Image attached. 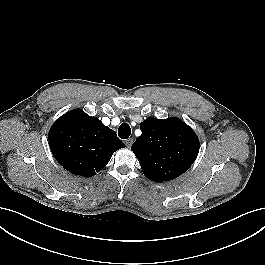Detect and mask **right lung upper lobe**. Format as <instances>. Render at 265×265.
<instances>
[{"label":"right lung upper lobe","mask_w":265,"mask_h":265,"mask_svg":"<svg viewBox=\"0 0 265 265\" xmlns=\"http://www.w3.org/2000/svg\"><path fill=\"white\" fill-rule=\"evenodd\" d=\"M48 138L56 160L67 171L85 177L95 175L116 150L125 147L112 129L81 109L57 119Z\"/></svg>","instance_id":"cb5924a9"}]
</instances>
